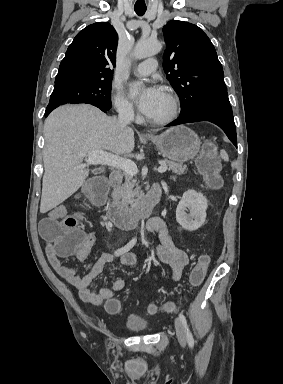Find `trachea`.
I'll use <instances>...</instances> for the list:
<instances>
[{
    "label": "trachea",
    "mask_w": 283,
    "mask_h": 384,
    "mask_svg": "<svg viewBox=\"0 0 283 384\" xmlns=\"http://www.w3.org/2000/svg\"><path fill=\"white\" fill-rule=\"evenodd\" d=\"M135 12L139 15L142 16L146 12V8H134Z\"/></svg>",
    "instance_id": "3493384b"
}]
</instances>
